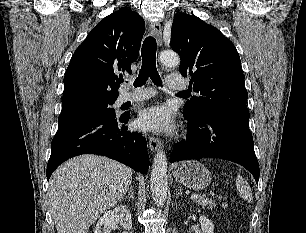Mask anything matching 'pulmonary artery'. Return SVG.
Returning <instances> with one entry per match:
<instances>
[{
    "mask_svg": "<svg viewBox=\"0 0 306 233\" xmlns=\"http://www.w3.org/2000/svg\"><path fill=\"white\" fill-rule=\"evenodd\" d=\"M167 86L172 91H183L187 87L184 79L178 76H174V75L168 76ZM154 95H155V91L153 89L137 91L135 93L124 91L120 93L116 103L117 105H121L126 102L142 101V100L149 99L150 97Z\"/></svg>",
    "mask_w": 306,
    "mask_h": 233,
    "instance_id": "1",
    "label": "pulmonary artery"
}]
</instances>
